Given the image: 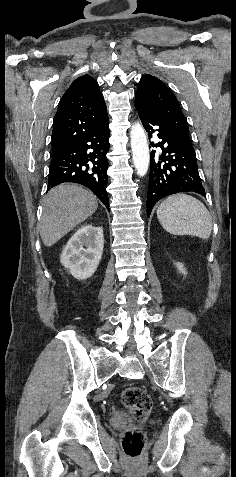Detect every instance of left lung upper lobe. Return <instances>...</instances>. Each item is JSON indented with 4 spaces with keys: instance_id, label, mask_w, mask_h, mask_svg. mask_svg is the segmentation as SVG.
I'll return each instance as SVG.
<instances>
[{
    "instance_id": "left-lung-upper-lobe-1",
    "label": "left lung upper lobe",
    "mask_w": 236,
    "mask_h": 477,
    "mask_svg": "<svg viewBox=\"0 0 236 477\" xmlns=\"http://www.w3.org/2000/svg\"><path fill=\"white\" fill-rule=\"evenodd\" d=\"M135 103L146 108L179 140L192 146L187 120L178 100L161 80L152 75H143L136 91Z\"/></svg>"
}]
</instances>
